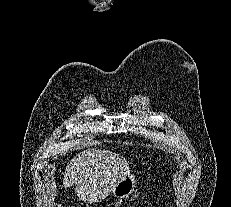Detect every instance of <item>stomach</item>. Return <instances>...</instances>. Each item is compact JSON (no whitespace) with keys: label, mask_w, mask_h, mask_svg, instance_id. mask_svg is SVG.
<instances>
[{"label":"stomach","mask_w":231,"mask_h":207,"mask_svg":"<svg viewBox=\"0 0 231 207\" xmlns=\"http://www.w3.org/2000/svg\"><path fill=\"white\" fill-rule=\"evenodd\" d=\"M135 187V176L129 174L117 183L112 190V195L119 200L127 199L134 192Z\"/></svg>","instance_id":"obj_1"}]
</instances>
